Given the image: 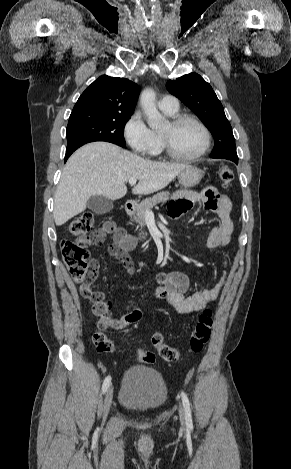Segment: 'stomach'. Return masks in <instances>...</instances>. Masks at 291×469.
Here are the masks:
<instances>
[{"mask_svg":"<svg viewBox=\"0 0 291 469\" xmlns=\"http://www.w3.org/2000/svg\"><path fill=\"white\" fill-rule=\"evenodd\" d=\"M202 177V170L194 166H189L178 174V181L184 188H190L198 184Z\"/></svg>","mask_w":291,"mask_h":469,"instance_id":"0dacf381","label":"stomach"}]
</instances>
